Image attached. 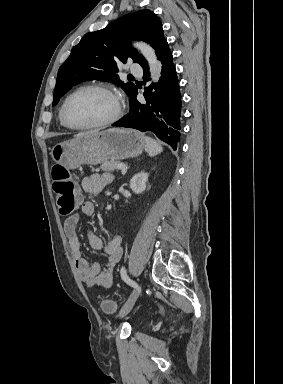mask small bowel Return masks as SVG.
<instances>
[{
	"label": "small bowel",
	"mask_w": 283,
	"mask_h": 384,
	"mask_svg": "<svg viewBox=\"0 0 283 384\" xmlns=\"http://www.w3.org/2000/svg\"><path fill=\"white\" fill-rule=\"evenodd\" d=\"M111 181L112 175L109 173H94L84 177L81 185L85 192L98 194ZM80 211L85 218H90L94 213V204L91 201H85L81 204ZM78 222L79 215L73 214L65 219L63 227L79 278L89 288H110L114 282L113 269L123 255L122 238L119 234H116L105 244L99 236L89 231L87 238L91 248L103 251L107 257L104 266L96 262H90L81 252V243L77 233Z\"/></svg>",
	"instance_id": "1"
}]
</instances>
